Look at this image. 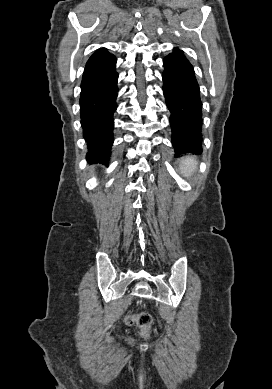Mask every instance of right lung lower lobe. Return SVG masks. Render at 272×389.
I'll list each match as a JSON object with an SVG mask.
<instances>
[{
	"instance_id": "obj_1",
	"label": "right lung lower lobe",
	"mask_w": 272,
	"mask_h": 389,
	"mask_svg": "<svg viewBox=\"0 0 272 389\" xmlns=\"http://www.w3.org/2000/svg\"><path fill=\"white\" fill-rule=\"evenodd\" d=\"M115 66L116 58L112 55L86 65L82 76L80 115L90 162L107 163L110 156L118 95Z\"/></svg>"
}]
</instances>
